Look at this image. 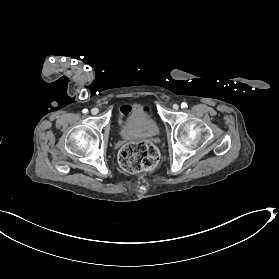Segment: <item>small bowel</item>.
I'll list each match as a JSON object with an SVG mask.
<instances>
[{"mask_svg": "<svg viewBox=\"0 0 279 279\" xmlns=\"http://www.w3.org/2000/svg\"><path fill=\"white\" fill-rule=\"evenodd\" d=\"M128 109V106H123L121 108V114H123Z\"/></svg>", "mask_w": 279, "mask_h": 279, "instance_id": "1", "label": "small bowel"}]
</instances>
